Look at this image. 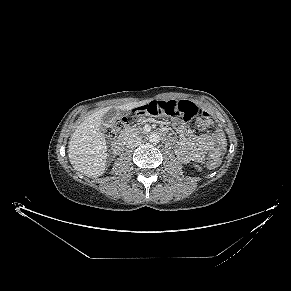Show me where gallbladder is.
I'll list each match as a JSON object with an SVG mask.
<instances>
[{
  "instance_id": "bac80fb5",
  "label": "gallbladder",
  "mask_w": 291,
  "mask_h": 291,
  "mask_svg": "<svg viewBox=\"0 0 291 291\" xmlns=\"http://www.w3.org/2000/svg\"><path fill=\"white\" fill-rule=\"evenodd\" d=\"M117 117L118 111L116 109H110L108 112H106L102 117V123L105 128L112 127Z\"/></svg>"
}]
</instances>
